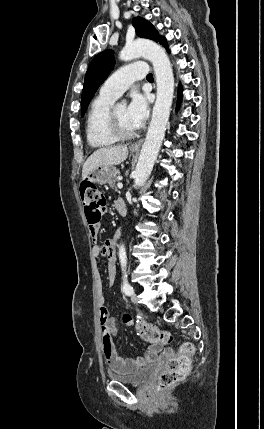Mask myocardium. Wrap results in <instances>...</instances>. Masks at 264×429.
I'll list each match as a JSON object with an SVG mask.
<instances>
[{
  "label": "myocardium",
  "instance_id": "1",
  "mask_svg": "<svg viewBox=\"0 0 264 429\" xmlns=\"http://www.w3.org/2000/svg\"><path fill=\"white\" fill-rule=\"evenodd\" d=\"M108 130L111 133L113 137H115L117 140H129L134 138L138 131H132L128 132L125 131L122 126L120 125L117 115H116V107H112L108 114Z\"/></svg>",
  "mask_w": 264,
  "mask_h": 429
}]
</instances>
